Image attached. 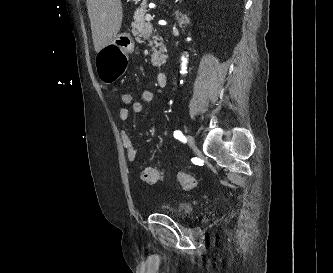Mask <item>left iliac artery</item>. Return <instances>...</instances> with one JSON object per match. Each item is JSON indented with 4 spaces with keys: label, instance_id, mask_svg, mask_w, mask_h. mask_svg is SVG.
<instances>
[{
    "label": "left iliac artery",
    "instance_id": "obj_1",
    "mask_svg": "<svg viewBox=\"0 0 333 273\" xmlns=\"http://www.w3.org/2000/svg\"><path fill=\"white\" fill-rule=\"evenodd\" d=\"M174 137L176 138V139H179V140H181L182 142H186L187 141V139H186V137L182 134V132L181 131H174Z\"/></svg>",
    "mask_w": 333,
    "mask_h": 273
}]
</instances>
